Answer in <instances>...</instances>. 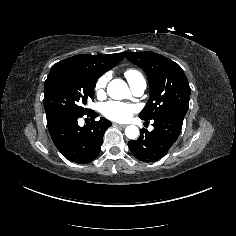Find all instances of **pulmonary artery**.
I'll use <instances>...</instances> for the list:
<instances>
[{
	"mask_svg": "<svg viewBox=\"0 0 236 236\" xmlns=\"http://www.w3.org/2000/svg\"><path fill=\"white\" fill-rule=\"evenodd\" d=\"M130 86L136 96H141L146 90L147 84L143 77L130 82Z\"/></svg>",
	"mask_w": 236,
	"mask_h": 236,
	"instance_id": "pulmonary-artery-1",
	"label": "pulmonary artery"
}]
</instances>
